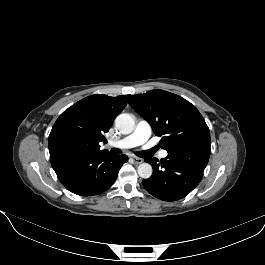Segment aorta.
<instances>
[{
  "instance_id": "obj_1",
  "label": "aorta",
  "mask_w": 265,
  "mask_h": 265,
  "mask_svg": "<svg viewBox=\"0 0 265 265\" xmlns=\"http://www.w3.org/2000/svg\"><path fill=\"white\" fill-rule=\"evenodd\" d=\"M115 126L122 134H130L135 128V120L132 115L122 113L115 119ZM138 175L143 179H148L152 176L153 169L148 163H141L137 169Z\"/></svg>"
}]
</instances>
